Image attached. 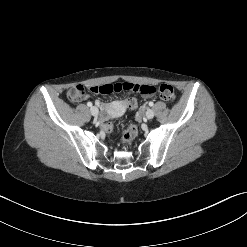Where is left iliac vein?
<instances>
[{
	"mask_svg": "<svg viewBox=\"0 0 247 247\" xmlns=\"http://www.w3.org/2000/svg\"><path fill=\"white\" fill-rule=\"evenodd\" d=\"M146 117L147 119H152L154 117V111L152 109H148L146 111Z\"/></svg>",
	"mask_w": 247,
	"mask_h": 247,
	"instance_id": "left-iliac-vein-1",
	"label": "left iliac vein"
}]
</instances>
